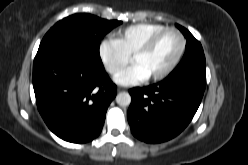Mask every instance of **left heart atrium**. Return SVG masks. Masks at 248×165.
Returning a JSON list of instances; mask_svg holds the SVG:
<instances>
[{"instance_id": "39dd6f15", "label": "left heart atrium", "mask_w": 248, "mask_h": 165, "mask_svg": "<svg viewBox=\"0 0 248 165\" xmlns=\"http://www.w3.org/2000/svg\"><path fill=\"white\" fill-rule=\"evenodd\" d=\"M149 78L146 70L139 64H134L133 66L125 69L119 73L115 78V82L128 86L143 82Z\"/></svg>"}]
</instances>
